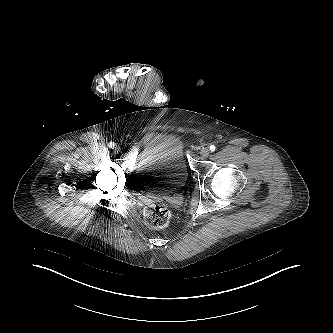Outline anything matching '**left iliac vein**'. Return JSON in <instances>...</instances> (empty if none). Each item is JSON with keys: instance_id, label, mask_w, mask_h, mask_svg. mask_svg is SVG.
<instances>
[{"instance_id": "4c4485c4", "label": "left iliac vein", "mask_w": 333, "mask_h": 333, "mask_svg": "<svg viewBox=\"0 0 333 333\" xmlns=\"http://www.w3.org/2000/svg\"><path fill=\"white\" fill-rule=\"evenodd\" d=\"M200 155L202 157H207L209 155V149L208 148H202L200 151Z\"/></svg>"}]
</instances>
